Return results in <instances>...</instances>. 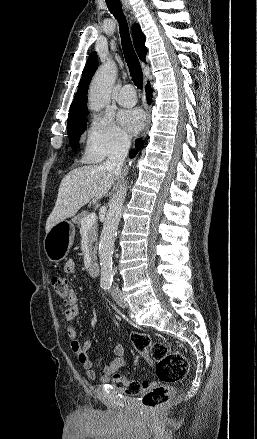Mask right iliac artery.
<instances>
[{"label": "right iliac artery", "instance_id": "82829eb1", "mask_svg": "<svg viewBox=\"0 0 257 439\" xmlns=\"http://www.w3.org/2000/svg\"><path fill=\"white\" fill-rule=\"evenodd\" d=\"M104 289H107V287H106V286H104Z\"/></svg>", "mask_w": 257, "mask_h": 439}]
</instances>
